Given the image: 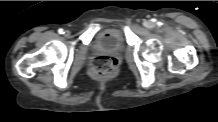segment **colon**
Returning a JSON list of instances; mask_svg holds the SVG:
<instances>
[{"label": "colon", "instance_id": "1", "mask_svg": "<svg viewBox=\"0 0 218 122\" xmlns=\"http://www.w3.org/2000/svg\"><path fill=\"white\" fill-rule=\"evenodd\" d=\"M118 60L113 56L101 55L93 59L90 65V74L94 78H105L116 72Z\"/></svg>", "mask_w": 218, "mask_h": 122}]
</instances>
